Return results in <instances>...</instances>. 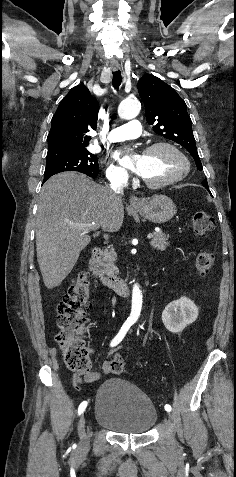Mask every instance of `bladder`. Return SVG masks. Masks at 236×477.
<instances>
[{
    "instance_id": "bladder-1",
    "label": "bladder",
    "mask_w": 236,
    "mask_h": 477,
    "mask_svg": "<svg viewBox=\"0 0 236 477\" xmlns=\"http://www.w3.org/2000/svg\"><path fill=\"white\" fill-rule=\"evenodd\" d=\"M94 415L98 424L125 435L146 434L158 419L157 409L147 394L120 378H108L99 386Z\"/></svg>"
}]
</instances>
